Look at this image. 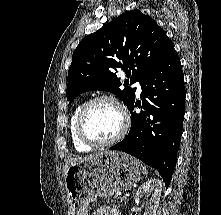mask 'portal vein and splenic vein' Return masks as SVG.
I'll return each instance as SVG.
<instances>
[{
    "instance_id": "portal-vein-and-splenic-vein-1",
    "label": "portal vein and splenic vein",
    "mask_w": 221,
    "mask_h": 215,
    "mask_svg": "<svg viewBox=\"0 0 221 215\" xmlns=\"http://www.w3.org/2000/svg\"><path fill=\"white\" fill-rule=\"evenodd\" d=\"M123 200H125L126 199V196H123V197H121Z\"/></svg>"
}]
</instances>
